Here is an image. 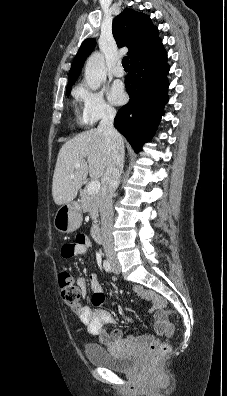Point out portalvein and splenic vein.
<instances>
[{
    "mask_svg": "<svg viewBox=\"0 0 227 396\" xmlns=\"http://www.w3.org/2000/svg\"><path fill=\"white\" fill-rule=\"evenodd\" d=\"M75 167L79 168L80 167V163H76ZM87 190H88V192L90 194L99 192V190H100V182L97 181V180H94V181L90 182L88 184Z\"/></svg>",
    "mask_w": 227,
    "mask_h": 396,
    "instance_id": "1",
    "label": "portal vein and splenic vein"
}]
</instances>
